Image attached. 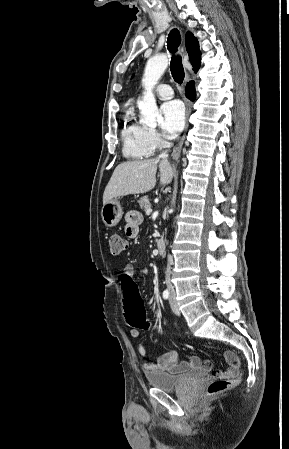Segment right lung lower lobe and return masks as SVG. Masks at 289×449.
I'll use <instances>...</instances> for the list:
<instances>
[{"mask_svg": "<svg viewBox=\"0 0 289 449\" xmlns=\"http://www.w3.org/2000/svg\"><path fill=\"white\" fill-rule=\"evenodd\" d=\"M186 97L190 100L194 101L196 97L195 92V83L194 81H190L186 86Z\"/></svg>", "mask_w": 289, "mask_h": 449, "instance_id": "right-lung-lower-lobe-1", "label": "right lung lower lobe"}]
</instances>
